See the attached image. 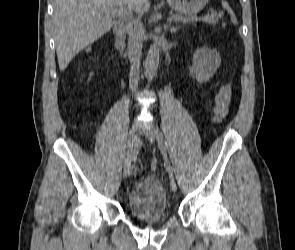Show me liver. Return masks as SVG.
<instances>
[{
  "mask_svg": "<svg viewBox=\"0 0 295 250\" xmlns=\"http://www.w3.org/2000/svg\"><path fill=\"white\" fill-rule=\"evenodd\" d=\"M149 0H54L53 26L59 69L91 45L115 23L109 9L147 13Z\"/></svg>",
  "mask_w": 295,
  "mask_h": 250,
  "instance_id": "liver-1",
  "label": "liver"
}]
</instances>
